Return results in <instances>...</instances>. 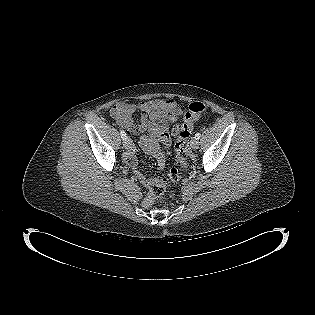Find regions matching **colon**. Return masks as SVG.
I'll return each mask as SVG.
<instances>
[{
  "label": "colon",
  "mask_w": 315,
  "mask_h": 315,
  "mask_svg": "<svg viewBox=\"0 0 315 315\" xmlns=\"http://www.w3.org/2000/svg\"><path fill=\"white\" fill-rule=\"evenodd\" d=\"M205 111L206 105L204 103L199 101L192 102L185 114L182 125L176 131V162L181 169H184L187 166V140L193 131L194 123ZM181 176V170L172 168L166 176L154 180L149 185V198L147 202L149 203L152 199L160 198L163 195L168 182L178 181Z\"/></svg>",
  "instance_id": "colon-1"
}]
</instances>
